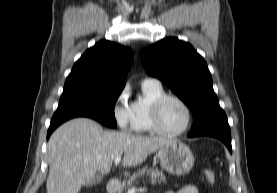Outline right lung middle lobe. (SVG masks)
Instances as JSON below:
<instances>
[{
  "instance_id": "dd1d6c3e",
  "label": "right lung middle lobe",
  "mask_w": 277,
  "mask_h": 193,
  "mask_svg": "<svg viewBox=\"0 0 277 193\" xmlns=\"http://www.w3.org/2000/svg\"><path fill=\"white\" fill-rule=\"evenodd\" d=\"M121 91L76 87L64 89L54 115H77L116 128L114 106Z\"/></svg>"
}]
</instances>
